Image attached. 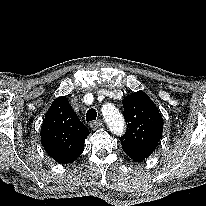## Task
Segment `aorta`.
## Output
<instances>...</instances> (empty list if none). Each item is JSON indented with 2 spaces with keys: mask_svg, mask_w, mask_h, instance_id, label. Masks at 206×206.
<instances>
[{
  "mask_svg": "<svg viewBox=\"0 0 206 206\" xmlns=\"http://www.w3.org/2000/svg\"><path fill=\"white\" fill-rule=\"evenodd\" d=\"M107 124L115 134H122L125 131V121L119 110L113 106L104 109Z\"/></svg>",
  "mask_w": 206,
  "mask_h": 206,
  "instance_id": "1",
  "label": "aorta"
}]
</instances>
